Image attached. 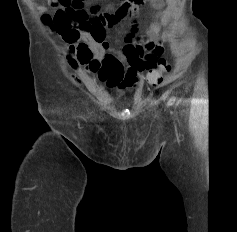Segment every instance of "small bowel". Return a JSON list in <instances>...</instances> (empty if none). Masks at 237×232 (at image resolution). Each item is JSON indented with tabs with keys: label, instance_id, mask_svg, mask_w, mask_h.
<instances>
[{
	"label": "small bowel",
	"instance_id": "1",
	"mask_svg": "<svg viewBox=\"0 0 237 232\" xmlns=\"http://www.w3.org/2000/svg\"><path fill=\"white\" fill-rule=\"evenodd\" d=\"M157 14L144 35H136L133 26L126 35L120 51L111 48L108 29L116 26L123 18L115 14H103L104 29L99 33L81 34L69 43L70 65L75 70L80 66L88 73H95L107 87L119 90L134 89L139 75L145 70L156 68L168 37L166 26L175 9L176 0H150ZM167 7H164V5Z\"/></svg>",
	"mask_w": 237,
	"mask_h": 232
}]
</instances>
